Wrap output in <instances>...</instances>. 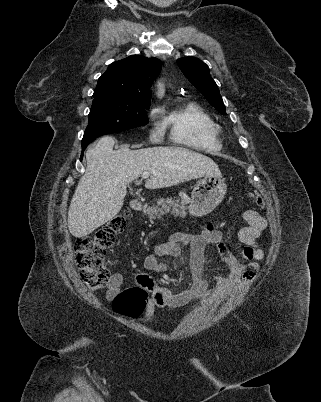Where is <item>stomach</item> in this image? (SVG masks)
<instances>
[{
  "mask_svg": "<svg viewBox=\"0 0 321 402\" xmlns=\"http://www.w3.org/2000/svg\"><path fill=\"white\" fill-rule=\"evenodd\" d=\"M226 190V183L221 176H204L191 194L189 213L195 217L209 214L221 203Z\"/></svg>",
  "mask_w": 321,
  "mask_h": 402,
  "instance_id": "1",
  "label": "stomach"
}]
</instances>
